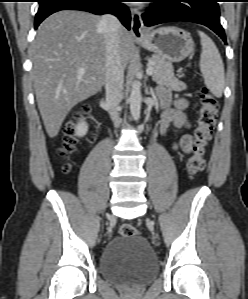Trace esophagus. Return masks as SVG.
<instances>
[{"mask_svg": "<svg viewBox=\"0 0 248 299\" xmlns=\"http://www.w3.org/2000/svg\"><path fill=\"white\" fill-rule=\"evenodd\" d=\"M131 32L136 39L144 38L147 33L143 24L141 12L137 8L131 9Z\"/></svg>", "mask_w": 248, "mask_h": 299, "instance_id": "esophagus-1", "label": "esophagus"}]
</instances>
